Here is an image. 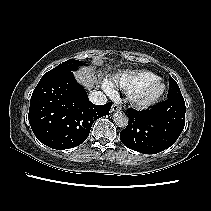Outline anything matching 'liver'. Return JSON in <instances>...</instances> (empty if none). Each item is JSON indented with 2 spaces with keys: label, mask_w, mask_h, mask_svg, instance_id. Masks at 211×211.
<instances>
[{
  "label": "liver",
  "mask_w": 211,
  "mask_h": 211,
  "mask_svg": "<svg viewBox=\"0 0 211 211\" xmlns=\"http://www.w3.org/2000/svg\"><path fill=\"white\" fill-rule=\"evenodd\" d=\"M93 70L94 69L90 67L88 70H79L75 73L76 80L88 90H90L96 82V76Z\"/></svg>",
  "instance_id": "1"
}]
</instances>
